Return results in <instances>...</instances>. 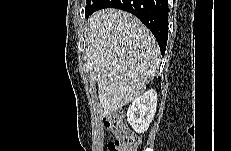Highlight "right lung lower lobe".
<instances>
[{"label":"right lung lower lobe","mask_w":231,"mask_h":151,"mask_svg":"<svg viewBox=\"0 0 231 151\" xmlns=\"http://www.w3.org/2000/svg\"><path fill=\"white\" fill-rule=\"evenodd\" d=\"M118 8L136 15L155 36L161 50L165 53L168 39V1L167 0H94L85 10L88 17L103 8Z\"/></svg>","instance_id":"right-lung-lower-lobe-1"}]
</instances>
